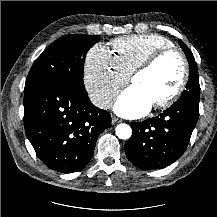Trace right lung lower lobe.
Listing matches in <instances>:
<instances>
[{
	"label": "right lung lower lobe",
	"instance_id": "right-lung-lower-lobe-1",
	"mask_svg": "<svg viewBox=\"0 0 217 217\" xmlns=\"http://www.w3.org/2000/svg\"><path fill=\"white\" fill-rule=\"evenodd\" d=\"M24 127L39 159L50 169L73 173L90 160L111 116L95 107L86 90L49 81L24 90Z\"/></svg>",
	"mask_w": 217,
	"mask_h": 217
}]
</instances>
